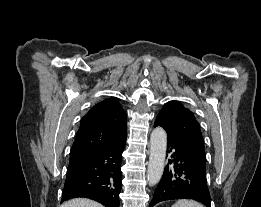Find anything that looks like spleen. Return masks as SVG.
I'll return each mask as SVG.
<instances>
[{"label":"spleen","mask_w":261,"mask_h":207,"mask_svg":"<svg viewBox=\"0 0 261 207\" xmlns=\"http://www.w3.org/2000/svg\"><path fill=\"white\" fill-rule=\"evenodd\" d=\"M172 207H204L200 203L193 200H179Z\"/></svg>","instance_id":"1"}]
</instances>
